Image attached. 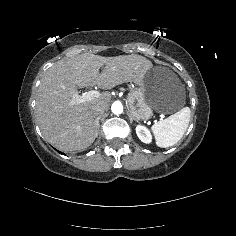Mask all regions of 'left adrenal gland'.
Returning a JSON list of instances; mask_svg holds the SVG:
<instances>
[{"label":"left adrenal gland","instance_id":"obj_1","mask_svg":"<svg viewBox=\"0 0 236 236\" xmlns=\"http://www.w3.org/2000/svg\"><path fill=\"white\" fill-rule=\"evenodd\" d=\"M127 115H128V117H129V120H130V121H132V120L136 121V119L131 115L130 112H127Z\"/></svg>","mask_w":236,"mask_h":236}]
</instances>
